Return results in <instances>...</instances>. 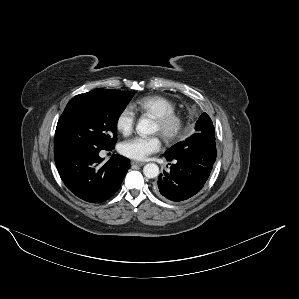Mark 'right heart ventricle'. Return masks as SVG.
<instances>
[{
    "label": "right heart ventricle",
    "mask_w": 299,
    "mask_h": 299,
    "mask_svg": "<svg viewBox=\"0 0 299 299\" xmlns=\"http://www.w3.org/2000/svg\"><path fill=\"white\" fill-rule=\"evenodd\" d=\"M132 108L142 114L153 118L176 111V103L163 95H148L136 100Z\"/></svg>",
    "instance_id": "e07e8e85"
}]
</instances>
